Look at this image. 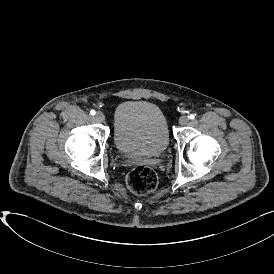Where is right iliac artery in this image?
Listing matches in <instances>:
<instances>
[{"mask_svg":"<svg viewBox=\"0 0 274 274\" xmlns=\"http://www.w3.org/2000/svg\"><path fill=\"white\" fill-rule=\"evenodd\" d=\"M90 114H91V115H95V114H96L95 110H91V111H90Z\"/></svg>","mask_w":274,"mask_h":274,"instance_id":"right-iliac-artery-1","label":"right iliac artery"}]
</instances>
